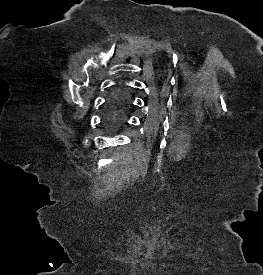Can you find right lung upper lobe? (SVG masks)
Wrapping results in <instances>:
<instances>
[{
    "instance_id": "right-lung-upper-lobe-1",
    "label": "right lung upper lobe",
    "mask_w": 263,
    "mask_h": 275,
    "mask_svg": "<svg viewBox=\"0 0 263 275\" xmlns=\"http://www.w3.org/2000/svg\"><path fill=\"white\" fill-rule=\"evenodd\" d=\"M128 107H129L128 96L124 91H122L119 94L116 104L114 106V109L112 111V115H111L112 121L114 123H122Z\"/></svg>"
}]
</instances>
